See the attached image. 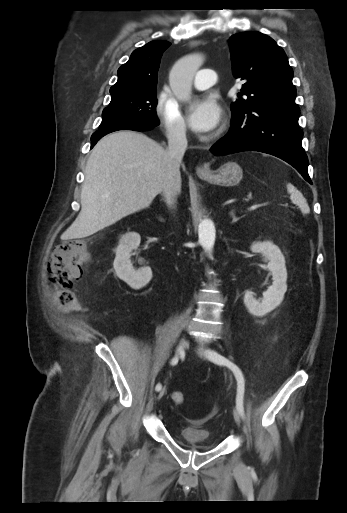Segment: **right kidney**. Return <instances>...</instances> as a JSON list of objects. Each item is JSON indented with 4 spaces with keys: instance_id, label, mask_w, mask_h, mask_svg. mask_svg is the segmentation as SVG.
<instances>
[{
    "instance_id": "ca27d5eb",
    "label": "right kidney",
    "mask_w": 347,
    "mask_h": 513,
    "mask_svg": "<svg viewBox=\"0 0 347 513\" xmlns=\"http://www.w3.org/2000/svg\"><path fill=\"white\" fill-rule=\"evenodd\" d=\"M140 241L141 237L136 232L123 235L115 250L116 257L113 263L117 277L133 289L144 287L152 278V271L149 267L136 271L131 262V252L137 249Z\"/></svg>"
}]
</instances>
